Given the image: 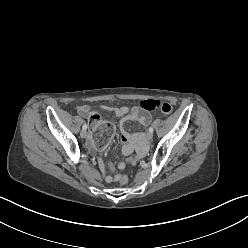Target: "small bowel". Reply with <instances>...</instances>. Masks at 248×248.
<instances>
[{"label": "small bowel", "instance_id": "1", "mask_svg": "<svg viewBox=\"0 0 248 248\" xmlns=\"http://www.w3.org/2000/svg\"><path fill=\"white\" fill-rule=\"evenodd\" d=\"M101 109L106 111H114L115 115L118 117H122L120 121V138L122 142L124 143L122 152L125 155L130 154L134 149L137 150L138 154H142L145 149L146 144V137L145 134L140 133H129L124 125L127 121H135L143 126H147L151 123V115L147 111L142 110L140 107H133L129 108L127 106H119L116 108H111L107 105H100ZM77 112L83 116L89 118L90 116L94 115L95 113H92L90 110V107L88 105H82L77 108ZM88 146L93 148L94 146V140L92 136H89L88 138ZM101 166L103 168V172L105 175V181L106 182H112L114 181V178L110 175V169L106 167L103 161H101ZM119 167H123V163H120L118 165Z\"/></svg>", "mask_w": 248, "mask_h": 248}]
</instances>
